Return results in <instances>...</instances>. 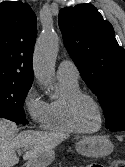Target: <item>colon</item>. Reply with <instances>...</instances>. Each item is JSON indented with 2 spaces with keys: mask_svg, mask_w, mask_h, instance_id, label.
<instances>
[{
  "mask_svg": "<svg viewBox=\"0 0 125 167\" xmlns=\"http://www.w3.org/2000/svg\"><path fill=\"white\" fill-rule=\"evenodd\" d=\"M113 167H125V160L117 159L113 163Z\"/></svg>",
  "mask_w": 125,
  "mask_h": 167,
  "instance_id": "obj_1",
  "label": "colon"
}]
</instances>
